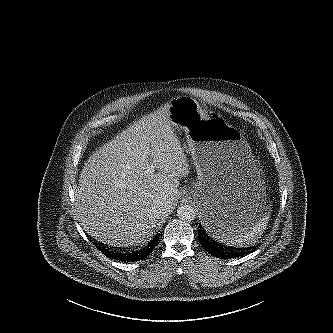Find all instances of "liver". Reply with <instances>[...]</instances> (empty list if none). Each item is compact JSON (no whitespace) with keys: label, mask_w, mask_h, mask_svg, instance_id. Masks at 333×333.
I'll use <instances>...</instances> for the list:
<instances>
[{"label":"liver","mask_w":333,"mask_h":333,"mask_svg":"<svg viewBox=\"0 0 333 333\" xmlns=\"http://www.w3.org/2000/svg\"><path fill=\"white\" fill-rule=\"evenodd\" d=\"M169 116L166 105L143 117L85 163L75 208L90 236L139 246L154 234L157 206L163 203L169 213L177 205L179 179L189 174V164Z\"/></svg>","instance_id":"6515ba94"}]
</instances>
